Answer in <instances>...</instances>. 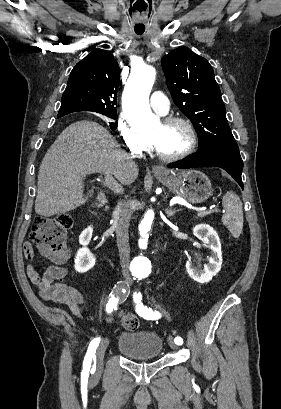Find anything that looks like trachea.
<instances>
[{"label":"trachea","instance_id":"trachea-1","mask_svg":"<svg viewBox=\"0 0 281 409\" xmlns=\"http://www.w3.org/2000/svg\"><path fill=\"white\" fill-rule=\"evenodd\" d=\"M142 33H143V32H141V33H137V35H142Z\"/></svg>","mask_w":281,"mask_h":409}]
</instances>
